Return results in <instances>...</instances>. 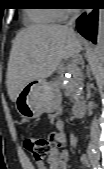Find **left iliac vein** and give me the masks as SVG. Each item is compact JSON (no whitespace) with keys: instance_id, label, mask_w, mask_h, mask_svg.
<instances>
[{"instance_id":"1","label":"left iliac vein","mask_w":104,"mask_h":169,"mask_svg":"<svg viewBox=\"0 0 104 169\" xmlns=\"http://www.w3.org/2000/svg\"><path fill=\"white\" fill-rule=\"evenodd\" d=\"M97 159H99V155H97Z\"/></svg>"}]
</instances>
